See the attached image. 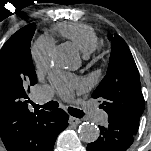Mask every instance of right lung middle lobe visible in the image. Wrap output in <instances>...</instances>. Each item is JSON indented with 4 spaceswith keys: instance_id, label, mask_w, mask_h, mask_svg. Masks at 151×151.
<instances>
[{
    "instance_id": "dd1d6c3e",
    "label": "right lung middle lobe",
    "mask_w": 151,
    "mask_h": 151,
    "mask_svg": "<svg viewBox=\"0 0 151 151\" xmlns=\"http://www.w3.org/2000/svg\"><path fill=\"white\" fill-rule=\"evenodd\" d=\"M36 29L35 24H29L15 34L4 44L0 51V86L27 87L30 80L37 81L30 42Z\"/></svg>"
}]
</instances>
